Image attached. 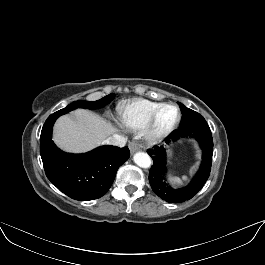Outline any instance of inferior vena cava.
<instances>
[{
  "instance_id": "1",
  "label": "inferior vena cava",
  "mask_w": 265,
  "mask_h": 265,
  "mask_svg": "<svg viewBox=\"0 0 265 265\" xmlns=\"http://www.w3.org/2000/svg\"><path fill=\"white\" fill-rule=\"evenodd\" d=\"M104 143L108 145L124 147L126 144V138L118 134H113L112 136L108 137Z\"/></svg>"
}]
</instances>
